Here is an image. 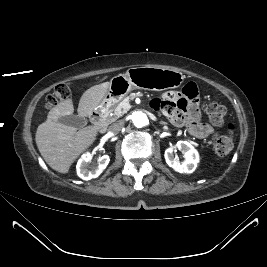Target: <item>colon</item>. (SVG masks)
<instances>
[{
    "instance_id": "5ec220e1",
    "label": "colon",
    "mask_w": 267,
    "mask_h": 267,
    "mask_svg": "<svg viewBox=\"0 0 267 267\" xmlns=\"http://www.w3.org/2000/svg\"><path fill=\"white\" fill-rule=\"evenodd\" d=\"M71 93V87L68 84H60L48 95L46 105L52 107L65 100ZM206 114L213 125L220 126L224 122L226 108L216 102H210L205 106ZM230 133L228 135H215L212 140V147L218 155H226L233 148L232 132L234 126H228Z\"/></svg>"
}]
</instances>
